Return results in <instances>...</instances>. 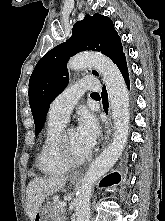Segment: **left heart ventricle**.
Listing matches in <instances>:
<instances>
[{
    "label": "left heart ventricle",
    "instance_id": "obj_1",
    "mask_svg": "<svg viewBox=\"0 0 165 221\" xmlns=\"http://www.w3.org/2000/svg\"><path fill=\"white\" fill-rule=\"evenodd\" d=\"M67 140L70 151L76 158L83 157L90 150V148L82 141L75 128L69 130Z\"/></svg>",
    "mask_w": 165,
    "mask_h": 221
}]
</instances>
